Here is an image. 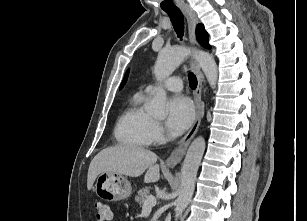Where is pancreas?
Listing matches in <instances>:
<instances>
[{"label": "pancreas", "instance_id": "pancreas-1", "mask_svg": "<svg viewBox=\"0 0 307 221\" xmlns=\"http://www.w3.org/2000/svg\"><path fill=\"white\" fill-rule=\"evenodd\" d=\"M150 189L145 187L138 191V194L135 196V201L141 205L144 203L145 199L149 196Z\"/></svg>", "mask_w": 307, "mask_h": 221}]
</instances>
